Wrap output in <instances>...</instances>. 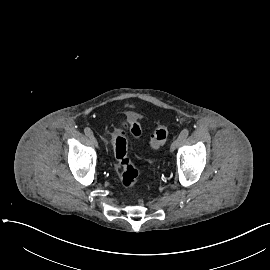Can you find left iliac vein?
Listing matches in <instances>:
<instances>
[{"mask_svg":"<svg viewBox=\"0 0 270 270\" xmlns=\"http://www.w3.org/2000/svg\"><path fill=\"white\" fill-rule=\"evenodd\" d=\"M180 143H181V140H180V138L178 137L177 139H175V140L172 142V144H171V146H170V151H171V152L175 151V150L178 148V146L180 145Z\"/></svg>","mask_w":270,"mask_h":270,"instance_id":"obj_1","label":"left iliac vein"}]
</instances>
